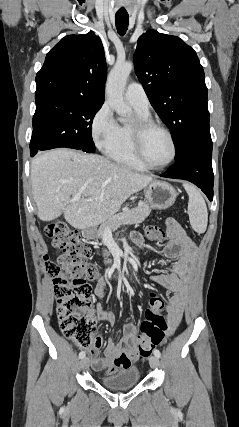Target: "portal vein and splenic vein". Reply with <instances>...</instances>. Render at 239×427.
Here are the masks:
<instances>
[{
	"label": "portal vein and splenic vein",
	"mask_w": 239,
	"mask_h": 427,
	"mask_svg": "<svg viewBox=\"0 0 239 427\" xmlns=\"http://www.w3.org/2000/svg\"><path fill=\"white\" fill-rule=\"evenodd\" d=\"M80 199H81V196L78 194V195L73 196V197L69 200V202H70V203L78 202ZM123 217H124V216H120L119 218H123ZM107 230H109V229H107Z\"/></svg>",
	"instance_id": "obj_1"
}]
</instances>
